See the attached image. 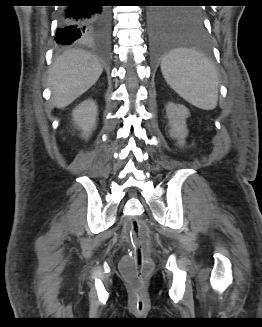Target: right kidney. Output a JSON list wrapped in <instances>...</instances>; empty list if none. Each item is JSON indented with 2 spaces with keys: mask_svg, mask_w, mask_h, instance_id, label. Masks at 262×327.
<instances>
[{
  "mask_svg": "<svg viewBox=\"0 0 262 327\" xmlns=\"http://www.w3.org/2000/svg\"><path fill=\"white\" fill-rule=\"evenodd\" d=\"M74 124L83 131L82 137L87 139L96 124V103L87 99L80 103L72 112Z\"/></svg>",
  "mask_w": 262,
  "mask_h": 327,
  "instance_id": "obj_1",
  "label": "right kidney"
}]
</instances>
